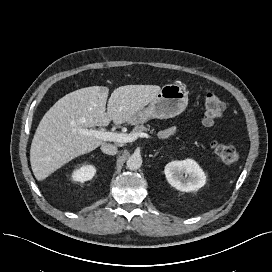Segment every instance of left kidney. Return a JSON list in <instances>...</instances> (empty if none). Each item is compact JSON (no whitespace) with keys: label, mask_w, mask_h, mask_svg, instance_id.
Instances as JSON below:
<instances>
[{"label":"left kidney","mask_w":272,"mask_h":272,"mask_svg":"<svg viewBox=\"0 0 272 272\" xmlns=\"http://www.w3.org/2000/svg\"><path fill=\"white\" fill-rule=\"evenodd\" d=\"M164 173L169 184L183 192L197 191L206 183L204 171L193 159L171 161Z\"/></svg>","instance_id":"1"}]
</instances>
